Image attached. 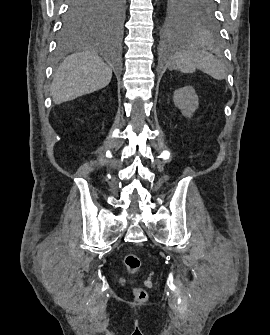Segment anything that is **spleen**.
Listing matches in <instances>:
<instances>
[{
	"instance_id": "spleen-1",
	"label": "spleen",
	"mask_w": 270,
	"mask_h": 335,
	"mask_svg": "<svg viewBox=\"0 0 270 335\" xmlns=\"http://www.w3.org/2000/svg\"><path fill=\"white\" fill-rule=\"evenodd\" d=\"M168 68H171V70H177L178 68L183 74H193L195 68H198L215 80H224L227 72L225 64L221 60H217L210 52L201 50L196 42L175 46L173 58L170 60Z\"/></svg>"
}]
</instances>
